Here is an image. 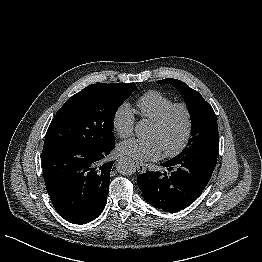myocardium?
Listing matches in <instances>:
<instances>
[{"instance_id": "f54148a6", "label": "myocardium", "mask_w": 262, "mask_h": 262, "mask_svg": "<svg viewBox=\"0 0 262 262\" xmlns=\"http://www.w3.org/2000/svg\"><path fill=\"white\" fill-rule=\"evenodd\" d=\"M177 110H182L186 117V131L184 137L180 144L174 148L173 150L164 151L165 156L167 157H175L181 154L189 145L193 130H194V120H193V113L191 108L186 103H174L170 107H168L165 112L154 121V125L158 128H165L169 123L173 113Z\"/></svg>"}]
</instances>
